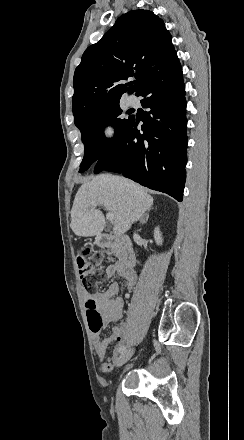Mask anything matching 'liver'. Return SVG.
I'll use <instances>...</instances> for the list:
<instances>
[{
    "label": "liver",
    "instance_id": "1",
    "mask_svg": "<svg viewBox=\"0 0 244 440\" xmlns=\"http://www.w3.org/2000/svg\"><path fill=\"white\" fill-rule=\"evenodd\" d=\"M92 202H99L97 206H104L109 214H114L115 236L128 232L153 206V198L139 184L121 176L100 174L91 182H83L74 198L70 228L76 236H99L105 228L104 214L95 210Z\"/></svg>",
    "mask_w": 244,
    "mask_h": 440
}]
</instances>
